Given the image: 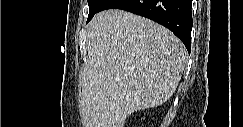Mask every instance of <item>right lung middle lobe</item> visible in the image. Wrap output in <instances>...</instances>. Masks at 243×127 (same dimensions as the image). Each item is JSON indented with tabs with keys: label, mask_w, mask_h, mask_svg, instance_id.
<instances>
[{
	"label": "right lung middle lobe",
	"mask_w": 243,
	"mask_h": 127,
	"mask_svg": "<svg viewBox=\"0 0 243 127\" xmlns=\"http://www.w3.org/2000/svg\"><path fill=\"white\" fill-rule=\"evenodd\" d=\"M106 0H88L89 5V15L87 19V23L92 19V17L99 11L101 6L104 4Z\"/></svg>",
	"instance_id": "right-lung-middle-lobe-1"
}]
</instances>
